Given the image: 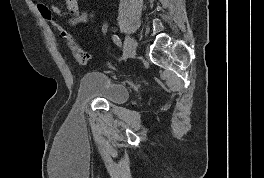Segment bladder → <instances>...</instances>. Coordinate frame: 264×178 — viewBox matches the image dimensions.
<instances>
[{"mask_svg":"<svg viewBox=\"0 0 264 178\" xmlns=\"http://www.w3.org/2000/svg\"><path fill=\"white\" fill-rule=\"evenodd\" d=\"M78 94L82 99H104L114 104H124L129 98L127 86L100 71L89 72L82 76Z\"/></svg>","mask_w":264,"mask_h":178,"instance_id":"obj_1","label":"bladder"}]
</instances>
